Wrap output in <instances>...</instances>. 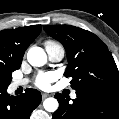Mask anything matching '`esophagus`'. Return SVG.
Returning <instances> with one entry per match:
<instances>
[{
  "label": "esophagus",
  "mask_w": 119,
  "mask_h": 119,
  "mask_svg": "<svg viewBox=\"0 0 119 119\" xmlns=\"http://www.w3.org/2000/svg\"><path fill=\"white\" fill-rule=\"evenodd\" d=\"M49 96V94H47V93H42V99H45V98H47Z\"/></svg>",
  "instance_id": "esophagus-1"
}]
</instances>
